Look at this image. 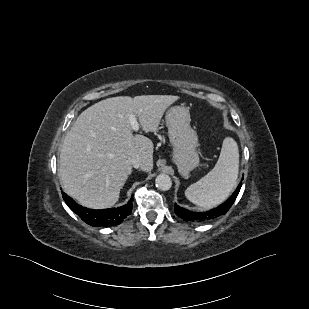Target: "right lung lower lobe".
<instances>
[{"label":"right lung lower lobe","mask_w":309,"mask_h":309,"mask_svg":"<svg viewBox=\"0 0 309 309\" xmlns=\"http://www.w3.org/2000/svg\"><path fill=\"white\" fill-rule=\"evenodd\" d=\"M63 199L69 208L74 211L84 222L91 226L111 227L122 223L128 215L131 214L133 208V197L128 204L112 209L94 210L82 207L77 204L67 194L63 193Z\"/></svg>","instance_id":"1"}]
</instances>
